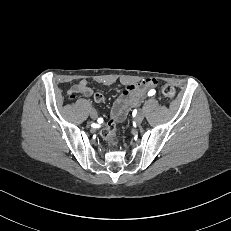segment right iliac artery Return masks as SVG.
Listing matches in <instances>:
<instances>
[{"label": "right iliac artery", "instance_id": "right-iliac-artery-1", "mask_svg": "<svg viewBox=\"0 0 231 231\" xmlns=\"http://www.w3.org/2000/svg\"><path fill=\"white\" fill-rule=\"evenodd\" d=\"M98 122H99V123H102V122H103V119H102V118H99V119H98Z\"/></svg>", "mask_w": 231, "mask_h": 231}]
</instances>
